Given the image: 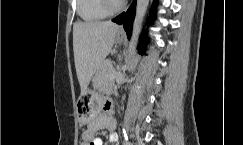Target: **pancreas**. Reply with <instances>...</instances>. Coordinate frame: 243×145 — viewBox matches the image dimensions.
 Masks as SVG:
<instances>
[{
	"label": "pancreas",
	"mask_w": 243,
	"mask_h": 145,
	"mask_svg": "<svg viewBox=\"0 0 243 145\" xmlns=\"http://www.w3.org/2000/svg\"><path fill=\"white\" fill-rule=\"evenodd\" d=\"M114 69L109 61H104L99 68L98 77L107 81L114 79Z\"/></svg>",
	"instance_id": "pancreas-1"
}]
</instances>
